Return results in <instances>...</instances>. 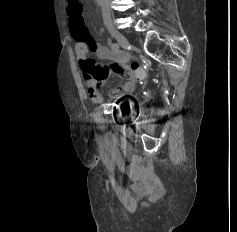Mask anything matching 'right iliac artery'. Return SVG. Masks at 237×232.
<instances>
[{
  "mask_svg": "<svg viewBox=\"0 0 237 232\" xmlns=\"http://www.w3.org/2000/svg\"><path fill=\"white\" fill-rule=\"evenodd\" d=\"M112 49L117 51L119 49V45L117 43H113L112 44Z\"/></svg>",
  "mask_w": 237,
  "mask_h": 232,
  "instance_id": "1",
  "label": "right iliac artery"
}]
</instances>
